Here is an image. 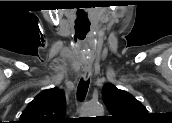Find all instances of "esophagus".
<instances>
[{
  "instance_id": "34e87169",
  "label": "esophagus",
  "mask_w": 172,
  "mask_h": 123,
  "mask_svg": "<svg viewBox=\"0 0 172 123\" xmlns=\"http://www.w3.org/2000/svg\"><path fill=\"white\" fill-rule=\"evenodd\" d=\"M91 74H92L91 66H85L83 68V78H84V80H88V78L91 76Z\"/></svg>"
}]
</instances>
